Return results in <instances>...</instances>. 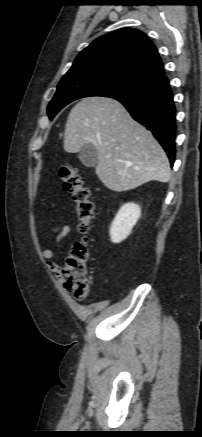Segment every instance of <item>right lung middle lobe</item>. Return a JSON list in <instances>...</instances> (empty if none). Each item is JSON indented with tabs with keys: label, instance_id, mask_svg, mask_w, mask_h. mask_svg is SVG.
<instances>
[{
	"label": "right lung middle lobe",
	"instance_id": "right-lung-middle-lobe-1",
	"mask_svg": "<svg viewBox=\"0 0 202 437\" xmlns=\"http://www.w3.org/2000/svg\"><path fill=\"white\" fill-rule=\"evenodd\" d=\"M152 83L128 75L102 70L68 72L58 84L47 112L50 120L67 104L84 97L134 95L147 89Z\"/></svg>",
	"mask_w": 202,
	"mask_h": 437
}]
</instances>
